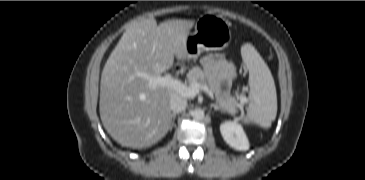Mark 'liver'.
Here are the masks:
<instances>
[{
    "instance_id": "1",
    "label": "liver",
    "mask_w": 365,
    "mask_h": 180,
    "mask_svg": "<svg viewBox=\"0 0 365 180\" xmlns=\"http://www.w3.org/2000/svg\"><path fill=\"white\" fill-rule=\"evenodd\" d=\"M192 20H171L157 25L155 19L133 21L109 56L101 76L99 111L104 128L123 146L149 147L170 129V99L175 90L157 86L139 74L160 76L184 61L185 37Z\"/></svg>"
}]
</instances>
